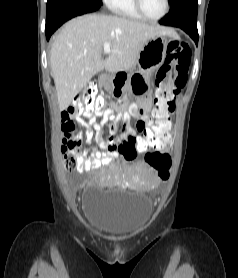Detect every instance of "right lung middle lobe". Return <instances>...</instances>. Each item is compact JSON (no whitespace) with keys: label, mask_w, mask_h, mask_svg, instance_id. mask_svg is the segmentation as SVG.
<instances>
[{"label":"right lung middle lobe","mask_w":238,"mask_h":278,"mask_svg":"<svg viewBox=\"0 0 238 278\" xmlns=\"http://www.w3.org/2000/svg\"><path fill=\"white\" fill-rule=\"evenodd\" d=\"M93 1H97V2H100V3H101V0H93Z\"/></svg>","instance_id":"dd1d6c3e"}]
</instances>
